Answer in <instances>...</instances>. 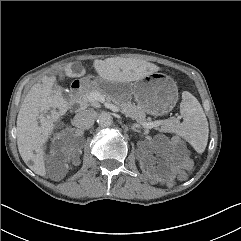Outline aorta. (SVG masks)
Listing matches in <instances>:
<instances>
[{
	"mask_svg": "<svg viewBox=\"0 0 241 241\" xmlns=\"http://www.w3.org/2000/svg\"><path fill=\"white\" fill-rule=\"evenodd\" d=\"M97 122L101 127H108L112 124L113 118L108 112H102L98 115Z\"/></svg>",
	"mask_w": 241,
	"mask_h": 241,
	"instance_id": "762f6f07",
	"label": "aorta"
}]
</instances>
